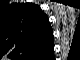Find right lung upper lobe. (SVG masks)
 <instances>
[{
	"label": "right lung upper lobe",
	"instance_id": "1",
	"mask_svg": "<svg viewBox=\"0 0 80 60\" xmlns=\"http://www.w3.org/2000/svg\"><path fill=\"white\" fill-rule=\"evenodd\" d=\"M6 40L11 49L41 53L49 47L47 16L35 4H12L8 8Z\"/></svg>",
	"mask_w": 80,
	"mask_h": 60
}]
</instances>
